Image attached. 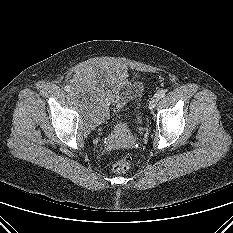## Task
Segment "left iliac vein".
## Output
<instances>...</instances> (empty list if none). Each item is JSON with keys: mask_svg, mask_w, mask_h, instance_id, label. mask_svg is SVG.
Instances as JSON below:
<instances>
[{"mask_svg": "<svg viewBox=\"0 0 233 233\" xmlns=\"http://www.w3.org/2000/svg\"><path fill=\"white\" fill-rule=\"evenodd\" d=\"M158 102V98L156 96L152 97L149 101V109L153 110Z\"/></svg>", "mask_w": 233, "mask_h": 233, "instance_id": "1", "label": "left iliac vein"}]
</instances>
